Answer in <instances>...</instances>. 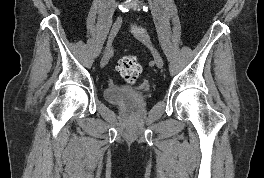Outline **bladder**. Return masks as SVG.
Masks as SVG:
<instances>
[{
    "instance_id": "obj_1",
    "label": "bladder",
    "mask_w": 264,
    "mask_h": 178,
    "mask_svg": "<svg viewBox=\"0 0 264 178\" xmlns=\"http://www.w3.org/2000/svg\"><path fill=\"white\" fill-rule=\"evenodd\" d=\"M105 100L113 105H131L139 100L136 87L109 85L104 90Z\"/></svg>"
}]
</instances>
